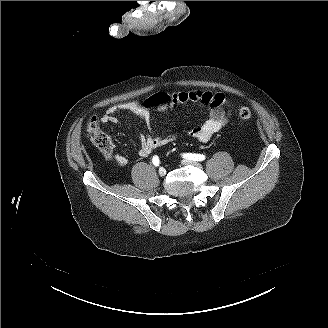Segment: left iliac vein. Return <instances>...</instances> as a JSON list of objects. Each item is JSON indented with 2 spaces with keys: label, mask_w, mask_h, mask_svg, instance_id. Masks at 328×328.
<instances>
[{
  "label": "left iliac vein",
  "mask_w": 328,
  "mask_h": 328,
  "mask_svg": "<svg viewBox=\"0 0 328 328\" xmlns=\"http://www.w3.org/2000/svg\"><path fill=\"white\" fill-rule=\"evenodd\" d=\"M182 163L186 166H194V167L202 168V165L200 163L192 160H184Z\"/></svg>",
  "instance_id": "left-iliac-vein-1"
}]
</instances>
